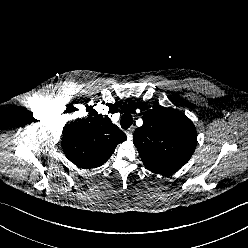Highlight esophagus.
I'll use <instances>...</instances> for the list:
<instances>
[{
	"instance_id": "1",
	"label": "esophagus",
	"mask_w": 248,
	"mask_h": 248,
	"mask_svg": "<svg viewBox=\"0 0 248 248\" xmlns=\"http://www.w3.org/2000/svg\"><path fill=\"white\" fill-rule=\"evenodd\" d=\"M135 127L132 126L130 127L127 131H126V135L128 137L129 140H131L133 138V131H134Z\"/></svg>"
}]
</instances>
